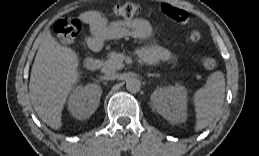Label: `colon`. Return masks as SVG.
Instances as JSON below:
<instances>
[{
	"label": "colon",
	"instance_id": "1",
	"mask_svg": "<svg viewBox=\"0 0 259 156\" xmlns=\"http://www.w3.org/2000/svg\"><path fill=\"white\" fill-rule=\"evenodd\" d=\"M143 10L144 7L136 3L118 4L113 9L116 15L123 17L125 19L134 18L140 15L143 12ZM162 12L168 19L178 24L189 25L191 22L188 13L178 8L169 5H164L162 7ZM54 30L58 40L61 43L69 44L73 42L80 33L81 23L76 19L62 18L54 24ZM187 39L191 42L198 41L200 39L199 31L196 29L191 30L187 35ZM201 63L203 67L208 71H212L216 68V61L209 56H203L201 58Z\"/></svg>",
	"mask_w": 259,
	"mask_h": 156
}]
</instances>
